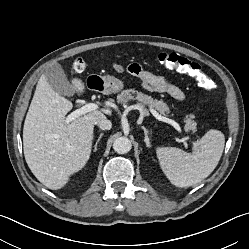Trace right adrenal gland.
Returning a JSON list of instances; mask_svg holds the SVG:
<instances>
[{"label": "right adrenal gland", "mask_w": 249, "mask_h": 249, "mask_svg": "<svg viewBox=\"0 0 249 249\" xmlns=\"http://www.w3.org/2000/svg\"><path fill=\"white\" fill-rule=\"evenodd\" d=\"M102 136H103V133H101V134L99 135V137H98V139H97V141H96V143H95V146H94V151L97 150V145H98V143L100 142Z\"/></svg>", "instance_id": "1"}]
</instances>
